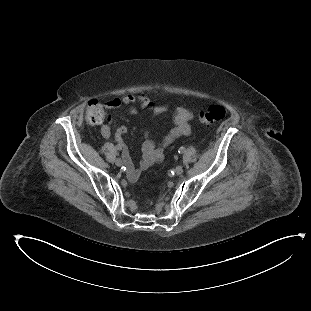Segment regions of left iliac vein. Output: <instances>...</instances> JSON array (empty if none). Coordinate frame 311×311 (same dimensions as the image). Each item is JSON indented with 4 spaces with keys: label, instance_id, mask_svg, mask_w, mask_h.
<instances>
[{
    "label": "left iliac vein",
    "instance_id": "1",
    "mask_svg": "<svg viewBox=\"0 0 311 311\" xmlns=\"http://www.w3.org/2000/svg\"><path fill=\"white\" fill-rule=\"evenodd\" d=\"M176 175H181L183 173V167L182 166H177L174 170Z\"/></svg>",
    "mask_w": 311,
    "mask_h": 311
}]
</instances>
